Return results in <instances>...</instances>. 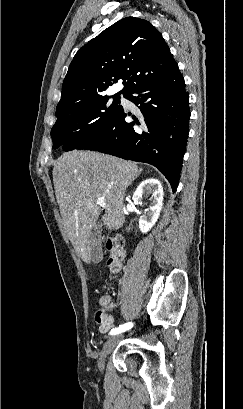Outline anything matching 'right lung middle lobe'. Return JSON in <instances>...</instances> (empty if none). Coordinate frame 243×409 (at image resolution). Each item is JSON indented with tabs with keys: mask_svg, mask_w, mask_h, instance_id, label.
<instances>
[{
	"mask_svg": "<svg viewBox=\"0 0 243 409\" xmlns=\"http://www.w3.org/2000/svg\"><path fill=\"white\" fill-rule=\"evenodd\" d=\"M107 102V96H99L57 109V121L51 130L53 149L73 150L87 136L107 127L122 108L118 95L111 105Z\"/></svg>",
	"mask_w": 243,
	"mask_h": 409,
	"instance_id": "1",
	"label": "right lung middle lobe"
}]
</instances>
